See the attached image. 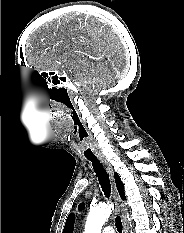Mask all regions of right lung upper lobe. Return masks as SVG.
Here are the masks:
<instances>
[{"instance_id": "1", "label": "right lung upper lobe", "mask_w": 184, "mask_h": 233, "mask_svg": "<svg viewBox=\"0 0 184 233\" xmlns=\"http://www.w3.org/2000/svg\"><path fill=\"white\" fill-rule=\"evenodd\" d=\"M114 177H115V182H116V186L118 189V192L122 198V200L125 199V194H124V185L121 182V179L119 177V175L117 173H114ZM73 226H74V215L70 214L66 220V224H65V228L63 230V233H72L73 232Z\"/></svg>"}]
</instances>
